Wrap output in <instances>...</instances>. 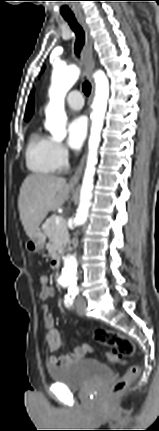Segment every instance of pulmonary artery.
I'll list each match as a JSON object with an SVG mask.
<instances>
[{
    "mask_svg": "<svg viewBox=\"0 0 159 431\" xmlns=\"http://www.w3.org/2000/svg\"><path fill=\"white\" fill-rule=\"evenodd\" d=\"M83 96L78 90H73L66 97V104L73 110H80L83 107Z\"/></svg>",
    "mask_w": 159,
    "mask_h": 431,
    "instance_id": "e3ab8cb5",
    "label": "pulmonary artery"
}]
</instances>
